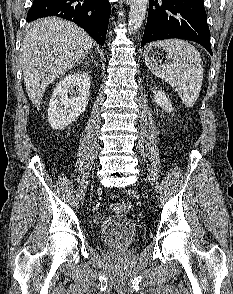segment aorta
<instances>
[{"instance_id": "1", "label": "aorta", "mask_w": 233, "mask_h": 294, "mask_svg": "<svg viewBox=\"0 0 233 294\" xmlns=\"http://www.w3.org/2000/svg\"><path fill=\"white\" fill-rule=\"evenodd\" d=\"M148 0H130V11L128 19V28L131 31H137L146 16Z\"/></svg>"}]
</instances>
